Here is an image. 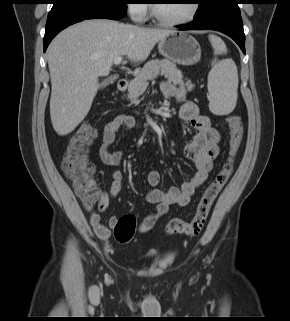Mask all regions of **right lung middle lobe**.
I'll list each match as a JSON object with an SVG mask.
<instances>
[{
    "mask_svg": "<svg viewBox=\"0 0 290 321\" xmlns=\"http://www.w3.org/2000/svg\"><path fill=\"white\" fill-rule=\"evenodd\" d=\"M75 9L85 11L126 10L127 0H53V10Z\"/></svg>",
    "mask_w": 290,
    "mask_h": 321,
    "instance_id": "1",
    "label": "right lung middle lobe"
}]
</instances>
